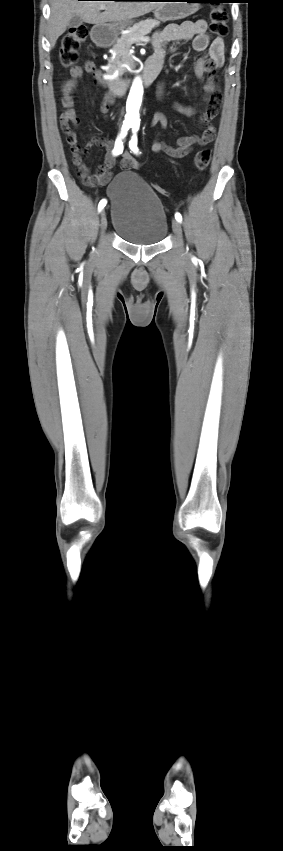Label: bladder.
Segmentation results:
<instances>
[{
    "mask_svg": "<svg viewBox=\"0 0 283 851\" xmlns=\"http://www.w3.org/2000/svg\"><path fill=\"white\" fill-rule=\"evenodd\" d=\"M114 231L126 242L154 245L168 231L164 206L154 191L138 174L122 172L108 186Z\"/></svg>",
    "mask_w": 283,
    "mask_h": 851,
    "instance_id": "1",
    "label": "bladder"
}]
</instances>
